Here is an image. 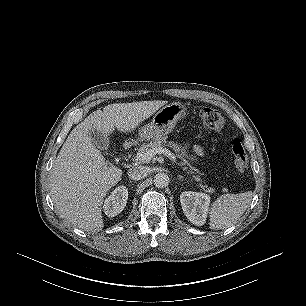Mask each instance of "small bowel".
<instances>
[{
    "mask_svg": "<svg viewBox=\"0 0 306 306\" xmlns=\"http://www.w3.org/2000/svg\"><path fill=\"white\" fill-rule=\"evenodd\" d=\"M194 151L197 155H202L203 154V150L200 146H195Z\"/></svg>",
    "mask_w": 306,
    "mask_h": 306,
    "instance_id": "1",
    "label": "small bowel"
}]
</instances>
